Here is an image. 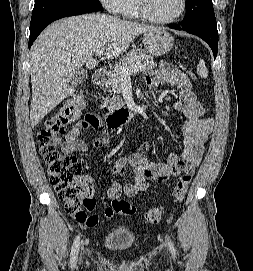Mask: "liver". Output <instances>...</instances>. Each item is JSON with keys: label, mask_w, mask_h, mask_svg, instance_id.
<instances>
[{"label": "liver", "mask_w": 253, "mask_h": 271, "mask_svg": "<svg viewBox=\"0 0 253 271\" xmlns=\"http://www.w3.org/2000/svg\"><path fill=\"white\" fill-rule=\"evenodd\" d=\"M154 29L99 13L61 19L48 26L31 49V126L75 91L71 81L82 65L88 69L98 65L92 57L98 49L107 46L105 58L118 57L136 36Z\"/></svg>", "instance_id": "6515ba94"}]
</instances>
